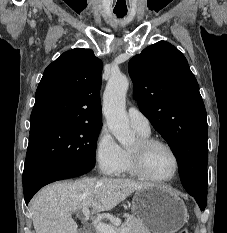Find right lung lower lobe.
Listing matches in <instances>:
<instances>
[{
    "label": "right lung lower lobe",
    "instance_id": "right-lung-lower-lobe-1",
    "mask_svg": "<svg viewBox=\"0 0 227 233\" xmlns=\"http://www.w3.org/2000/svg\"><path fill=\"white\" fill-rule=\"evenodd\" d=\"M91 167L77 165H55L41 168L27 177H23V191L26 204L43 186L68 178L77 177L89 172Z\"/></svg>",
    "mask_w": 227,
    "mask_h": 233
}]
</instances>
